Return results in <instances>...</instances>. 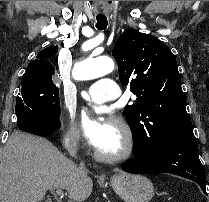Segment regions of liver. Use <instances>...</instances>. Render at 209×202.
I'll return each instance as SVG.
<instances>
[{"label":"liver","instance_id":"obj_1","mask_svg":"<svg viewBox=\"0 0 209 202\" xmlns=\"http://www.w3.org/2000/svg\"><path fill=\"white\" fill-rule=\"evenodd\" d=\"M57 187L84 201L93 182L47 139L14 131L0 161V202H40L48 189Z\"/></svg>","mask_w":209,"mask_h":202}]
</instances>
